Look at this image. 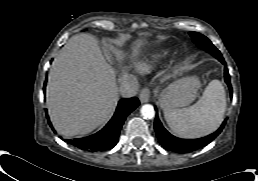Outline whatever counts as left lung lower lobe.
<instances>
[{
	"instance_id": "1",
	"label": "left lung lower lobe",
	"mask_w": 258,
	"mask_h": 181,
	"mask_svg": "<svg viewBox=\"0 0 258 181\" xmlns=\"http://www.w3.org/2000/svg\"><path fill=\"white\" fill-rule=\"evenodd\" d=\"M219 61L222 62L224 65H226L224 59H221ZM224 77H225V82L227 83L230 90V96L232 97V87L230 83L228 70L226 67L224 68ZM225 123H226V120L222 123L220 128L217 131H215L213 134L207 137H204L201 139H195V140H186V139H179L174 137L163 127L158 116H156L154 121V129L156 131V135L158 137L159 143L165 149L176 153H190L208 145L217 135L221 133V131L225 126Z\"/></svg>"
}]
</instances>
